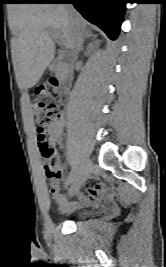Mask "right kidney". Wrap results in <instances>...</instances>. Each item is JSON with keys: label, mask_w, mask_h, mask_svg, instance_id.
Instances as JSON below:
<instances>
[{"label": "right kidney", "mask_w": 166, "mask_h": 267, "mask_svg": "<svg viewBox=\"0 0 166 267\" xmlns=\"http://www.w3.org/2000/svg\"><path fill=\"white\" fill-rule=\"evenodd\" d=\"M97 45H98V41H95L94 44H91L87 50V53L90 54L91 52H93L95 48L97 47Z\"/></svg>", "instance_id": "right-kidney-1"}]
</instances>
